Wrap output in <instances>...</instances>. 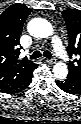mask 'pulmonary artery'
I'll use <instances>...</instances> for the list:
<instances>
[{
	"label": "pulmonary artery",
	"instance_id": "e3ab8cb5",
	"mask_svg": "<svg viewBox=\"0 0 81 124\" xmlns=\"http://www.w3.org/2000/svg\"><path fill=\"white\" fill-rule=\"evenodd\" d=\"M53 47H54V50H55L56 55L60 59H62V60H67L68 59L67 54L63 50V47L61 45V42L57 38H54L53 39Z\"/></svg>",
	"mask_w": 81,
	"mask_h": 124
}]
</instances>
